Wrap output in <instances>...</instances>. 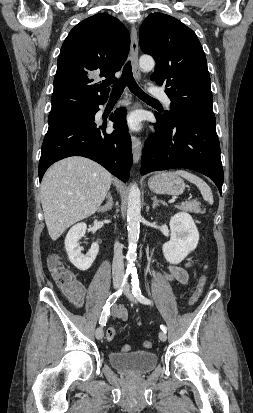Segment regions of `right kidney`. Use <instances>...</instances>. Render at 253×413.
Segmentation results:
<instances>
[{
	"label": "right kidney",
	"mask_w": 253,
	"mask_h": 413,
	"mask_svg": "<svg viewBox=\"0 0 253 413\" xmlns=\"http://www.w3.org/2000/svg\"><path fill=\"white\" fill-rule=\"evenodd\" d=\"M87 225L85 223H78L74 225L65 238V249L70 262L79 270H88L94 262L98 252V243H93L91 249L86 255L81 253L82 247L79 245V240L84 237Z\"/></svg>",
	"instance_id": "ca27d5eb"
}]
</instances>
